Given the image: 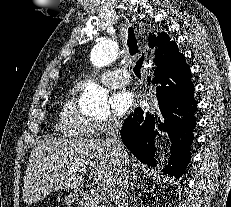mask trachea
<instances>
[{
	"label": "trachea",
	"mask_w": 231,
	"mask_h": 207,
	"mask_svg": "<svg viewBox=\"0 0 231 207\" xmlns=\"http://www.w3.org/2000/svg\"><path fill=\"white\" fill-rule=\"evenodd\" d=\"M127 46H128V49H129V53L131 56L139 53V50H138V45H137V39H136V36H135V33H134V30L132 27H130L128 29V39H127ZM143 62H144V56L142 55L136 62L135 64V67L133 69L135 75L137 77H140L141 76V68H142V65H143Z\"/></svg>",
	"instance_id": "trachea-1"
}]
</instances>
